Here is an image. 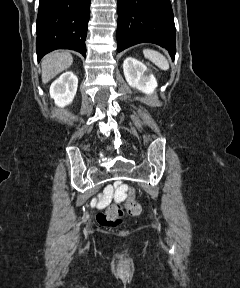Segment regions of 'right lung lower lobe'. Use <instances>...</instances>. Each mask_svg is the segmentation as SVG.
Wrapping results in <instances>:
<instances>
[{
    "label": "right lung lower lobe",
    "instance_id": "obj_1",
    "mask_svg": "<svg viewBox=\"0 0 240 288\" xmlns=\"http://www.w3.org/2000/svg\"><path fill=\"white\" fill-rule=\"evenodd\" d=\"M90 3L91 0H40L36 26L38 61L56 49H71L86 56Z\"/></svg>",
    "mask_w": 240,
    "mask_h": 288
}]
</instances>
